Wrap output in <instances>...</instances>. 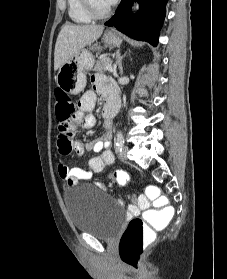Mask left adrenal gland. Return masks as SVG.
<instances>
[{"label": "left adrenal gland", "mask_w": 227, "mask_h": 279, "mask_svg": "<svg viewBox=\"0 0 227 279\" xmlns=\"http://www.w3.org/2000/svg\"><path fill=\"white\" fill-rule=\"evenodd\" d=\"M124 56L120 55V52L118 51L116 54V64L118 65L119 69H120V73L121 75H123V67H122V59Z\"/></svg>", "instance_id": "obj_1"}]
</instances>
